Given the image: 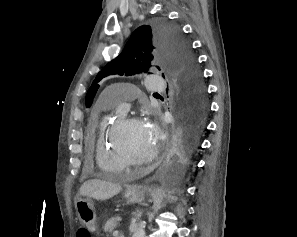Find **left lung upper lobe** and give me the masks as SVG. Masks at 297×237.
<instances>
[{"instance_id":"left-lung-upper-lobe-1","label":"left lung upper lobe","mask_w":297,"mask_h":237,"mask_svg":"<svg viewBox=\"0 0 297 237\" xmlns=\"http://www.w3.org/2000/svg\"><path fill=\"white\" fill-rule=\"evenodd\" d=\"M155 55L164 56L175 64L180 93L197 105L206 104L205 87L189 44L178 28L158 21L153 27L143 25L137 28L122 53L98 73L86 95V106L91 105L103 78L147 71Z\"/></svg>"}]
</instances>
